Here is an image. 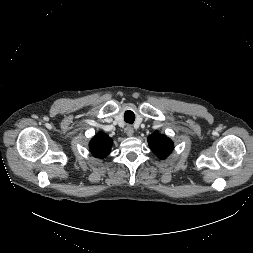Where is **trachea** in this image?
Masks as SVG:
<instances>
[{"instance_id":"trachea-1","label":"trachea","mask_w":253,"mask_h":253,"mask_svg":"<svg viewBox=\"0 0 253 253\" xmlns=\"http://www.w3.org/2000/svg\"><path fill=\"white\" fill-rule=\"evenodd\" d=\"M124 120L126 123L133 124V122L135 120V114L132 111L127 110L124 113Z\"/></svg>"}]
</instances>
